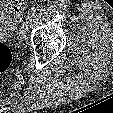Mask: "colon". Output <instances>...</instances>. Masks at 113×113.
I'll return each mask as SVG.
<instances>
[{
    "mask_svg": "<svg viewBox=\"0 0 113 113\" xmlns=\"http://www.w3.org/2000/svg\"><path fill=\"white\" fill-rule=\"evenodd\" d=\"M22 3L18 0H2L0 14L19 20L22 14ZM13 53L10 45L0 42V73L5 72L11 65Z\"/></svg>",
    "mask_w": 113,
    "mask_h": 113,
    "instance_id": "1",
    "label": "colon"
}]
</instances>
